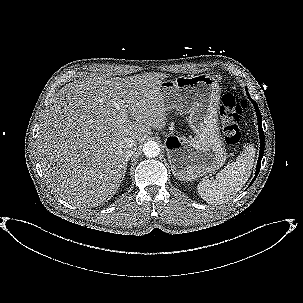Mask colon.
Returning a JSON list of instances; mask_svg holds the SVG:
<instances>
[{"label":"colon","instance_id":"colon-1","mask_svg":"<svg viewBox=\"0 0 303 303\" xmlns=\"http://www.w3.org/2000/svg\"><path fill=\"white\" fill-rule=\"evenodd\" d=\"M247 102L234 92L226 93L222 98L220 116L224 139L229 144H237L240 140L239 120L247 109Z\"/></svg>","mask_w":303,"mask_h":303}]
</instances>
